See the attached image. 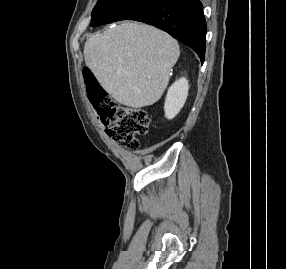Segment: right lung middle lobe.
Returning a JSON list of instances; mask_svg holds the SVG:
<instances>
[{"mask_svg": "<svg viewBox=\"0 0 286 269\" xmlns=\"http://www.w3.org/2000/svg\"><path fill=\"white\" fill-rule=\"evenodd\" d=\"M156 0H98L92 11L91 26L125 20Z\"/></svg>", "mask_w": 286, "mask_h": 269, "instance_id": "dd1d6c3e", "label": "right lung middle lobe"}]
</instances>
